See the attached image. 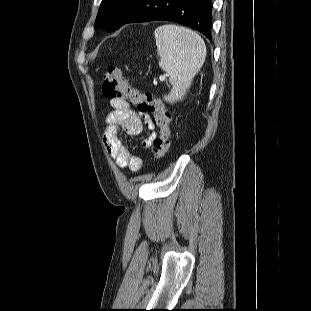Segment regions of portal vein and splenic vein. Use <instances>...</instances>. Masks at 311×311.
<instances>
[{
  "label": "portal vein and splenic vein",
  "instance_id": "obj_1",
  "mask_svg": "<svg viewBox=\"0 0 311 311\" xmlns=\"http://www.w3.org/2000/svg\"><path fill=\"white\" fill-rule=\"evenodd\" d=\"M165 78L164 77H160V80H164Z\"/></svg>",
  "mask_w": 311,
  "mask_h": 311
}]
</instances>
